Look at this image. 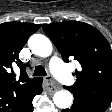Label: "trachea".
<instances>
[{"label":"trachea","mask_w":112,"mask_h":112,"mask_svg":"<svg viewBox=\"0 0 112 112\" xmlns=\"http://www.w3.org/2000/svg\"><path fill=\"white\" fill-rule=\"evenodd\" d=\"M46 75H47V73L43 66H41V65L36 66L33 76H46Z\"/></svg>","instance_id":"trachea-1"}]
</instances>
